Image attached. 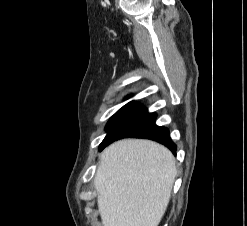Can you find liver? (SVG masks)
<instances>
[{
	"mask_svg": "<svg viewBox=\"0 0 247 226\" xmlns=\"http://www.w3.org/2000/svg\"><path fill=\"white\" fill-rule=\"evenodd\" d=\"M175 158L150 140L125 139L100 155L94 179L103 226H158L177 174Z\"/></svg>",
	"mask_w": 247,
	"mask_h": 226,
	"instance_id": "6515ba94",
	"label": "liver"
}]
</instances>
